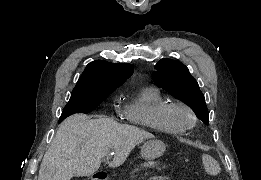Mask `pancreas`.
Listing matches in <instances>:
<instances>
[{"label":"pancreas","mask_w":261,"mask_h":180,"mask_svg":"<svg viewBox=\"0 0 261 180\" xmlns=\"http://www.w3.org/2000/svg\"><path fill=\"white\" fill-rule=\"evenodd\" d=\"M170 165V162H165V159H142L140 162L134 163L132 169L124 171V176L130 175L132 178H137L145 176L146 170H167Z\"/></svg>","instance_id":"cf45deb5"}]
</instances>
